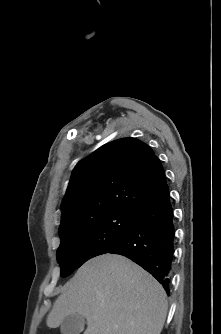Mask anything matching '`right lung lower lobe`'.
<instances>
[{"instance_id": "obj_1", "label": "right lung lower lobe", "mask_w": 221, "mask_h": 334, "mask_svg": "<svg viewBox=\"0 0 221 334\" xmlns=\"http://www.w3.org/2000/svg\"><path fill=\"white\" fill-rule=\"evenodd\" d=\"M174 239L173 209L166 184L134 214L121 240L105 253L120 254L136 262L152 274L169 295Z\"/></svg>"}]
</instances>
